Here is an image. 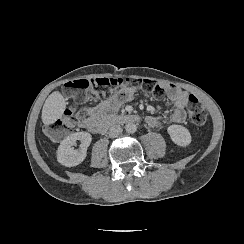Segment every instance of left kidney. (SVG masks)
I'll return each mask as SVG.
<instances>
[{
  "label": "left kidney",
  "mask_w": 244,
  "mask_h": 244,
  "mask_svg": "<svg viewBox=\"0 0 244 244\" xmlns=\"http://www.w3.org/2000/svg\"><path fill=\"white\" fill-rule=\"evenodd\" d=\"M167 131L175 144L187 146L191 143V135L187 128L181 125H171Z\"/></svg>",
  "instance_id": "obj_1"
}]
</instances>
